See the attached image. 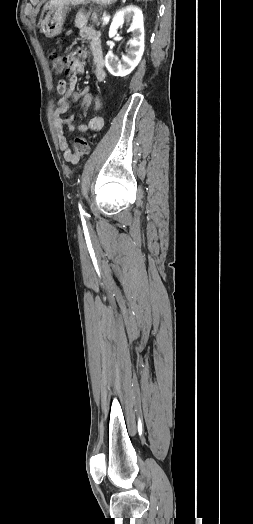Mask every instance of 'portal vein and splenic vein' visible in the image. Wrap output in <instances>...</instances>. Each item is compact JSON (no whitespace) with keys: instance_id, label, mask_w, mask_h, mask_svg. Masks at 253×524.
I'll list each match as a JSON object with an SVG mask.
<instances>
[{"instance_id":"1","label":"portal vein and splenic vein","mask_w":253,"mask_h":524,"mask_svg":"<svg viewBox=\"0 0 253 524\" xmlns=\"http://www.w3.org/2000/svg\"><path fill=\"white\" fill-rule=\"evenodd\" d=\"M110 20V16L103 17V23H107Z\"/></svg>"}]
</instances>
